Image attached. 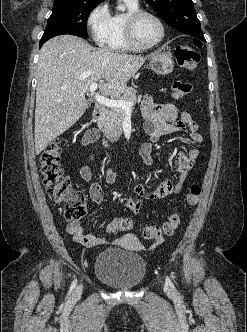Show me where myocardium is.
I'll return each instance as SVG.
<instances>
[{"label": "myocardium", "mask_w": 247, "mask_h": 332, "mask_svg": "<svg viewBox=\"0 0 247 332\" xmlns=\"http://www.w3.org/2000/svg\"><path fill=\"white\" fill-rule=\"evenodd\" d=\"M143 16L153 17L157 21V23L159 24L160 29H161L160 38L156 42H154L150 45L140 44L137 41L136 36H135L136 23ZM124 31H125L126 40L129 43V45L132 46L135 50H141V51L149 50V49H152V48L158 46L159 44H161L163 42V40L165 39V35H166V29H165V25H164L162 19L156 13L149 11V10H144V9H138L136 11L130 12L126 16Z\"/></svg>", "instance_id": "f54148a6"}]
</instances>
